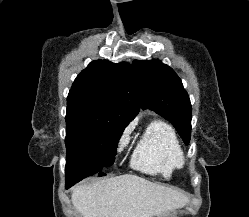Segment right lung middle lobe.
<instances>
[{"label":"right lung middle lobe","mask_w":249,"mask_h":217,"mask_svg":"<svg viewBox=\"0 0 249 217\" xmlns=\"http://www.w3.org/2000/svg\"><path fill=\"white\" fill-rule=\"evenodd\" d=\"M129 121L89 103L67 102L66 149L69 158L86 160L93 166L88 176L111 166L123 130Z\"/></svg>","instance_id":"right-lung-middle-lobe-1"}]
</instances>
